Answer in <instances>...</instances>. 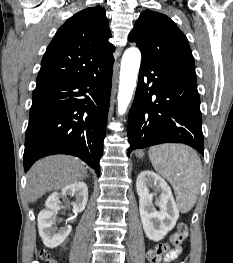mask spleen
<instances>
[{"label": "spleen", "instance_id": "obj_1", "mask_svg": "<svg viewBox=\"0 0 233 263\" xmlns=\"http://www.w3.org/2000/svg\"><path fill=\"white\" fill-rule=\"evenodd\" d=\"M150 161L172 185L182 213L195 205L199 193L202 164L195 150L183 144H162L148 151Z\"/></svg>", "mask_w": 233, "mask_h": 263}]
</instances>
